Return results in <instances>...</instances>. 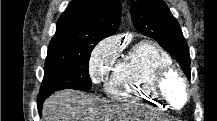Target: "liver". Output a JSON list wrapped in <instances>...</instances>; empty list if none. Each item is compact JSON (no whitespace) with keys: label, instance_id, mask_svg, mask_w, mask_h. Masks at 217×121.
<instances>
[{"label":"liver","instance_id":"obj_1","mask_svg":"<svg viewBox=\"0 0 217 121\" xmlns=\"http://www.w3.org/2000/svg\"><path fill=\"white\" fill-rule=\"evenodd\" d=\"M140 115L132 108L107 104L75 90L54 93L42 109V121H135Z\"/></svg>","mask_w":217,"mask_h":121}]
</instances>
